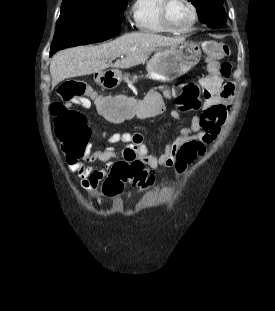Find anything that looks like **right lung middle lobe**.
<instances>
[{
  "mask_svg": "<svg viewBox=\"0 0 275 311\" xmlns=\"http://www.w3.org/2000/svg\"><path fill=\"white\" fill-rule=\"evenodd\" d=\"M129 0H63L50 56L78 45L101 42L123 20Z\"/></svg>",
  "mask_w": 275,
  "mask_h": 311,
  "instance_id": "dd1d6c3e",
  "label": "right lung middle lobe"
}]
</instances>
